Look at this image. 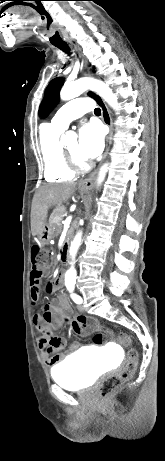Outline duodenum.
Returning <instances> with one entry per match:
<instances>
[{
	"mask_svg": "<svg viewBox=\"0 0 165 461\" xmlns=\"http://www.w3.org/2000/svg\"><path fill=\"white\" fill-rule=\"evenodd\" d=\"M65 244L67 245L68 244V240L65 241ZM64 256V260L66 259V254L63 255Z\"/></svg>",
	"mask_w": 165,
	"mask_h": 461,
	"instance_id": "1",
	"label": "duodenum"
}]
</instances>
